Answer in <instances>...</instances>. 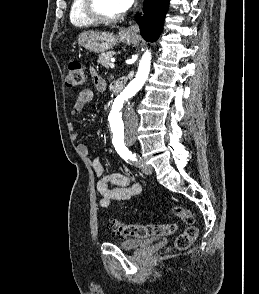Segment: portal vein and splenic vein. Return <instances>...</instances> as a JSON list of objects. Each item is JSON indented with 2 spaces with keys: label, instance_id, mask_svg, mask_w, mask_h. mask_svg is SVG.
I'll list each match as a JSON object with an SVG mask.
<instances>
[{
  "label": "portal vein and splenic vein",
  "instance_id": "18ae733b",
  "mask_svg": "<svg viewBox=\"0 0 259 294\" xmlns=\"http://www.w3.org/2000/svg\"><path fill=\"white\" fill-rule=\"evenodd\" d=\"M112 62H114V60H112ZM109 65H110L111 68H114L115 67V64L114 63H110Z\"/></svg>",
  "mask_w": 259,
  "mask_h": 294
}]
</instances>
